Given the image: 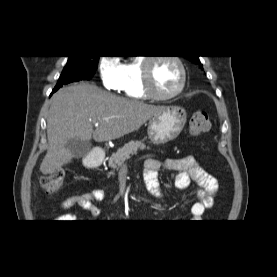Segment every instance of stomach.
Instances as JSON below:
<instances>
[{"label":"stomach","instance_id":"stomach-1","mask_svg":"<svg viewBox=\"0 0 277 277\" xmlns=\"http://www.w3.org/2000/svg\"><path fill=\"white\" fill-rule=\"evenodd\" d=\"M187 120L184 108L168 106L151 118L147 133L153 144H164L176 139L183 130Z\"/></svg>","mask_w":277,"mask_h":277}]
</instances>
